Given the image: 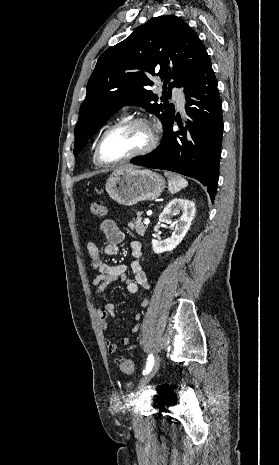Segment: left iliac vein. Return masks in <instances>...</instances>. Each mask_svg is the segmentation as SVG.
<instances>
[{
	"label": "left iliac vein",
	"mask_w": 279,
	"mask_h": 465,
	"mask_svg": "<svg viewBox=\"0 0 279 465\" xmlns=\"http://www.w3.org/2000/svg\"><path fill=\"white\" fill-rule=\"evenodd\" d=\"M160 366V357L157 356L151 370L147 373L139 383V392H142L145 386L149 383V381L155 376Z\"/></svg>",
	"instance_id": "4c4485c4"
}]
</instances>
